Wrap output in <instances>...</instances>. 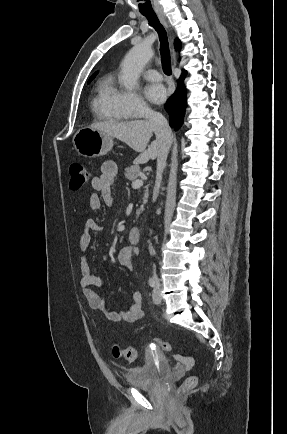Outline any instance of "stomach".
<instances>
[{
  "mask_svg": "<svg viewBox=\"0 0 287 434\" xmlns=\"http://www.w3.org/2000/svg\"><path fill=\"white\" fill-rule=\"evenodd\" d=\"M76 151L89 158L106 155L113 147V138L97 129L84 127L73 137Z\"/></svg>",
  "mask_w": 287,
  "mask_h": 434,
  "instance_id": "obj_1",
  "label": "stomach"
}]
</instances>
